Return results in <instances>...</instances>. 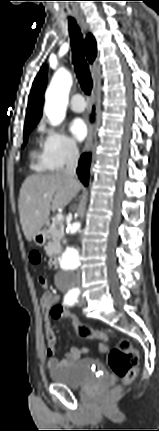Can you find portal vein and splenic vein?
<instances>
[{
	"label": "portal vein and splenic vein",
	"mask_w": 159,
	"mask_h": 431,
	"mask_svg": "<svg viewBox=\"0 0 159 431\" xmlns=\"http://www.w3.org/2000/svg\"><path fill=\"white\" fill-rule=\"evenodd\" d=\"M55 220L56 221H62L63 220V215L62 214H57Z\"/></svg>",
	"instance_id": "18ae733b"
}]
</instances>
